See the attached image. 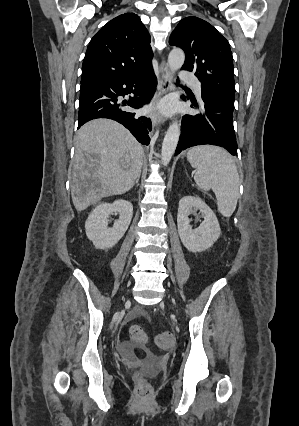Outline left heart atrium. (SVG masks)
Returning a JSON list of instances; mask_svg holds the SVG:
<instances>
[{
    "instance_id": "1",
    "label": "left heart atrium",
    "mask_w": 299,
    "mask_h": 426,
    "mask_svg": "<svg viewBox=\"0 0 299 426\" xmlns=\"http://www.w3.org/2000/svg\"><path fill=\"white\" fill-rule=\"evenodd\" d=\"M161 108L164 112L169 113L171 111V103L169 101H164L161 104Z\"/></svg>"
}]
</instances>
